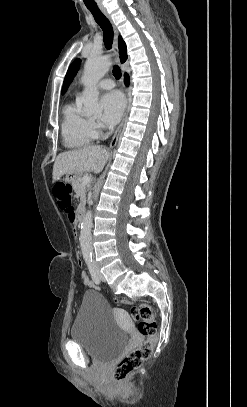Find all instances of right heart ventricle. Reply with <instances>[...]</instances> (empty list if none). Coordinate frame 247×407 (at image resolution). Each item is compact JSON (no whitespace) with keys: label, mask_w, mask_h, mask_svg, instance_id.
Returning <instances> with one entry per match:
<instances>
[{"label":"right heart ventricle","mask_w":247,"mask_h":407,"mask_svg":"<svg viewBox=\"0 0 247 407\" xmlns=\"http://www.w3.org/2000/svg\"><path fill=\"white\" fill-rule=\"evenodd\" d=\"M61 134L64 145L71 149L86 147L95 138L91 121L74 103H68L63 108Z\"/></svg>","instance_id":"e07e8e85"}]
</instances>
